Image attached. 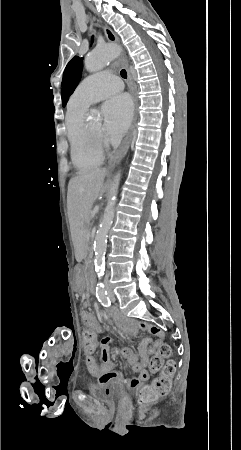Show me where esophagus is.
<instances>
[{"label": "esophagus", "instance_id": "esophagus-1", "mask_svg": "<svg viewBox=\"0 0 241 450\" xmlns=\"http://www.w3.org/2000/svg\"><path fill=\"white\" fill-rule=\"evenodd\" d=\"M104 33L105 36L107 38V40L109 42H119L117 36L115 35L114 32H112V30L109 27H105L104 28ZM124 67L127 70V74H128V80H129V87L132 93V98H133V103H134V107H133V121H132V125L129 129L128 135L126 136L123 144L121 145V147L119 148V150L117 151V153L115 154V156L113 157V159L109 162L108 167L107 168H112L115 166L116 162L118 160H120L125 153L127 152L130 142L132 140V136H133V130L134 127L136 125V120H137V108H138V99H137V93H136V88L134 86V82L132 79V74L129 68V65L127 62H123Z\"/></svg>", "mask_w": 241, "mask_h": 450}]
</instances>
